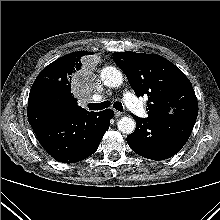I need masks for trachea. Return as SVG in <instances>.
Here are the masks:
<instances>
[{
    "mask_svg": "<svg viewBox=\"0 0 220 220\" xmlns=\"http://www.w3.org/2000/svg\"><path fill=\"white\" fill-rule=\"evenodd\" d=\"M111 104L109 101H104V102H101V103H89L88 104V107H89V110H94V111H98V110H102L104 108H107L109 107ZM113 107L122 112L123 111V106H122V103L121 102H114L113 103Z\"/></svg>",
    "mask_w": 220,
    "mask_h": 220,
    "instance_id": "3493384b",
    "label": "trachea"
}]
</instances>
